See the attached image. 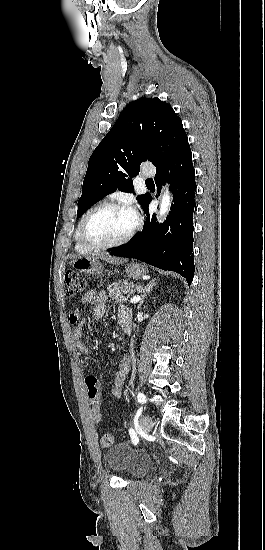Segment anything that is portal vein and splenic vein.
Instances as JSON below:
<instances>
[{
	"label": "portal vein and splenic vein",
	"mask_w": 265,
	"mask_h": 550,
	"mask_svg": "<svg viewBox=\"0 0 265 550\" xmlns=\"http://www.w3.org/2000/svg\"><path fill=\"white\" fill-rule=\"evenodd\" d=\"M140 299H141V297H140L139 295H138V296H134V297L131 298L130 303H134V304H135V303L139 302Z\"/></svg>",
	"instance_id": "portal-vein-and-splenic-vein-1"
}]
</instances>
